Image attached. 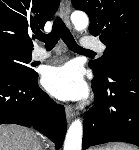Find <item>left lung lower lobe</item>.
<instances>
[{"mask_svg": "<svg viewBox=\"0 0 139 150\" xmlns=\"http://www.w3.org/2000/svg\"><path fill=\"white\" fill-rule=\"evenodd\" d=\"M95 104L85 114L82 150L122 141L139 147V46L120 54L106 77L96 70Z\"/></svg>", "mask_w": 139, "mask_h": 150, "instance_id": "obj_1", "label": "left lung lower lobe"}]
</instances>
